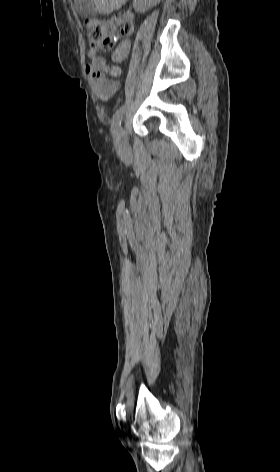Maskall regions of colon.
Here are the masks:
<instances>
[{"instance_id":"5ec220e1","label":"colon","mask_w":280,"mask_h":472,"mask_svg":"<svg viewBox=\"0 0 280 472\" xmlns=\"http://www.w3.org/2000/svg\"><path fill=\"white\" fill-rule=\"evenodd\" d=\"M85 28L92 49L110 48L118 36H126L131 32V25L123 19L102 21L96 18H87Z\"/></svg>"}]
</instances>
